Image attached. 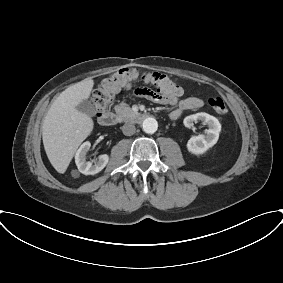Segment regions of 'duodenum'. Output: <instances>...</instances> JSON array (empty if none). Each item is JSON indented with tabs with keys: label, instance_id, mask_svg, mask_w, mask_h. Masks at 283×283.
<instances>
[{
	"label": "duodenum",
	"instance_id": "1",
	"mask_svg": "<svg viewBox=\"0 0 283 283\" xmlns=\"http://www.w3.org/2000/svg\"><path fill=\"white\" fill-rule=\"evenodd\" d=\"M149 117L147 113L136 112L131 115V122L141 123ZM98 122L102 126H112L117 122V116L113 112H103L98 116Z\"/></svg>",
	"mask_w": 283,
	"mask_h": 283
}]
</instances>
